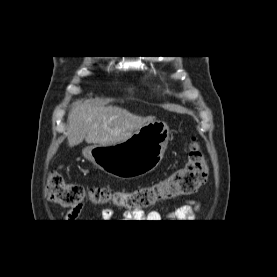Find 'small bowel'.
I'll return each mask as SVG.
<instances>
[{"instance_id": "small-bowel-1", "label": "small bowel", "mask_w": 277, "mask_h": 277, "mask_svg": "<svg viewBox=\"0 0 277 277\" xmlns=\"http://www.w3.org/2000/svg\"><path fill=\"white\" fill-rule=\"evenodd\" d=\"M83 206L84 204H80L71 208L63 217L65 222H73L76 220L82 212ZM198 211L199 203L194 200H189L182 206L171 211L168 217L173 220L188 222L196 218ZM102 216L105 219H110L113 216V211L110 208H104L102 210ZM123 218L125 220H136V222H161L163 220L162 214L157 210L150 211L147 214L141 212H125Z\"/></svg>"}]
</instances>
